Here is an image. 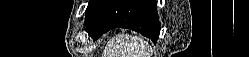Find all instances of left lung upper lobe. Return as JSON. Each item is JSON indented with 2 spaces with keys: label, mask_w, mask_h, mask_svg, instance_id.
Returning a JSON list of instances; mask_svg holds the SVG:
<instances>
[{
  "label": "left lung upper lobe",
  "mask_w": 249,
  "mask_h": 57,
  "mask_svg": "<svg viewBox=\"0 0 249 57\" xmlns=\"http://www.w3.org/2000/svg\"><path fill=\"white\" fill-rule=\"evenodd\" d=\"M107 0H90L86 9V20L89 21Z\"/></svg>",
  "instance_id": "1"
}]
</instances>
